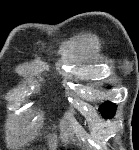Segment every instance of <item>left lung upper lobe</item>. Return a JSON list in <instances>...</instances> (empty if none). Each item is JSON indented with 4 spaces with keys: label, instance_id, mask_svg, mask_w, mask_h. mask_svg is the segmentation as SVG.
<instances>
[{
    "label": "left lung upper lobe",
    "instance_id": "obj_1",
    "mask_svg": "<svg viewBox=\"0 0 139 150\" xmlns=\"http://www.w3.org/2000/svg\"><path fill=\"white\" fill-rule=\"evenodd\" d=\"M99 111L105 118H112L115 113V105L111 102L103 103L100 106Z\"/></svg>",
    "mask_w": 139,
    "mask_h": 150
}]
</instances>
